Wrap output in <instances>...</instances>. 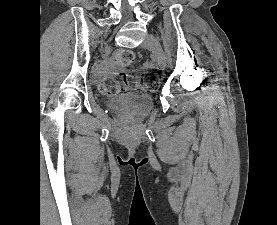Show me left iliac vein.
<instances>
[{
  "mask_svg": "<svg viewBox=\"0 0 277 225\" xmlns=\"http://www.w3.org/2000/svg\"><path fill=\"white\" fill-rule=\"evenodd\" d=\"M142 46L150 49L155 57V60L157 62V65L160 68H164L166 65V58H165V54L164 51L161 47V44L159 42V40L152 34H148L143 43Z\"/></svg>",
  "mask_w": 277,
  "mask_h": 225,
  "instance_id": "obj_1",
  "label": "left iliac vein"
}]
</instances>
